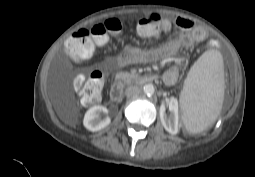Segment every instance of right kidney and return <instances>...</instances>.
Instances as JSON below:
<instances>
[{
	"instance_id": "ca27d5eb",
	"label": "right kidney",
	"mask_w": 255,
	"mask_h": 177,
	"mask_svg": "<svg viewBox=\"0 0 255 177\" xmlns=\"http://www.w3.org/2000/svg\"><path fill=\"white\" fill-rule=\"evenodd\" d=\"M107 113L108 110L104 106H93L91 107L84 116L83 125L86 129L92 132L99 131L111 122V119L107 116L104 119H101V113Z\"/></svg>"
}]
</instances>
